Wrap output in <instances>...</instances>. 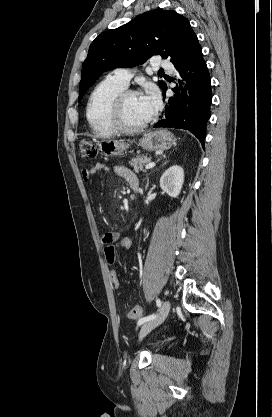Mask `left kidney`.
<instances>
[{"mask_svg": "<svg viewBox=\"0 0 272 417\" xmlns=\"http://www.w3.org/2000/svg\"><path fill=\"white\" fill-rule=\"evenodd\" d=\"M184 183V170L178 165L169 167L160 178V187L170 197L176 198Z\"/></svg>", "mask_w": 272, "mask_h": 417, "instance_id": "left-kidney-1", "label": "left kidney"}]
</instances>
